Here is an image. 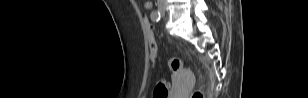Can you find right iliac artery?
Listing matches in <instances>:
<instances>
[{"label":"right iliac artery","mask_w":308,"mask_h":98,"mask_svg":"<svg viewBox=\"0 0 308 98\" xmlns=\"http://www.w3.org/2000/svg\"><path fill=\"white\" fill-rule=\"evenodd\" d=\"M150 17H151L152 21L158 22L160 20V18H161V14H160L159 11L154 10V11L151 12Z\"/></svg>","instance_id":"right-iliac-artery-1"}]
</instances>
